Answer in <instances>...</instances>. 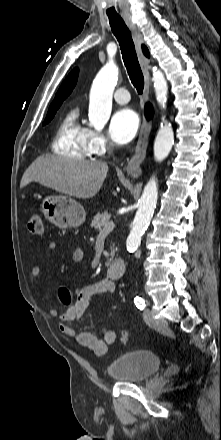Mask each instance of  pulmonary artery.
Segmentation results:
<instances>
[{"label": "pulmonary artery", "instance_id": "e3ab8cb5", "mask_svg": "<svg viewBox=\"0 0 221 440\" xmlns=\"http://www.w3.org/2000/svg\"><path fill=\"white\" fill-rule=\"evenodd\" d=\"M113 98H114V100L117 103L126 104L130 100V95H129V92L127 91V89H125V88H118L114 92Z\"/></svg>", "mask_w": 221, "mask_h": 440}]
</instances>
